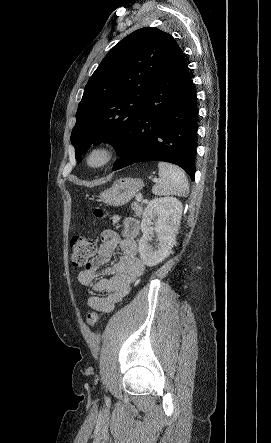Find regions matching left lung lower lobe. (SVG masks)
Instances as JSON below:
<instances>
[{
    "label": "left lung lower lobe",
    "mask_w": 271,
    "mask_h": 443,
    "mask_svg": "<svg viewBox=\"0 0 271 443\" xmlns=\"http://www.w3.org/2000/svg\"><path fill=\"white\" fill-rule=\"evenodd\" d=\"M146 106L113 170L135 162L164 161L194 180L198 109L185 56L179 47L146 91Z\"/></svg>",
    "instance_id": "1"
}]
</instances>
